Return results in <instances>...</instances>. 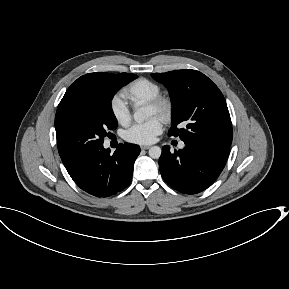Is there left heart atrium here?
Returning <instances> with one entry per match:
<instances>
[{
	"instance_id": "obj_1",
	"label": "left heart atrium",
	"mask_w": 289,
	"mask_h": 289,
	"mask_svg": "<svg viewBox=\"0 0 289 289\" xmlns=\"http://www.w3.org/2000/svg\"><path fill=\"white\" fill-rule=\"evenodd\" d=\"M163 122L158 117H153L146 122L135 124L124 134L126 141L134 144H150L162 132Z\"/></svg>"
}]
</instances>
